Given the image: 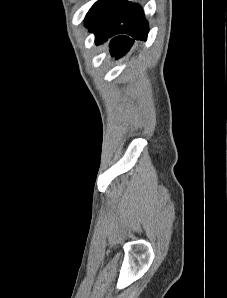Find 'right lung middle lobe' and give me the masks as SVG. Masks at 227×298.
Listing matches in <instances>:
<instances>
[{
  "mask_svg": "<svg viewBox=\"0 0 227 298\" xmlns=\"http://www.w3.org/2000/svg\"><path fill=\"white\" fill-rule=\"evenodd\" d=\"M113 0H99L89 10L85 18V25L88 26Z\"/></svg>",
  "mask_w": 227,
  "mask_h": 298,
  "instance_id": "right-lung-middle-lobe-1",
  "label": "right lung middle lobe"
}]
</instances>
